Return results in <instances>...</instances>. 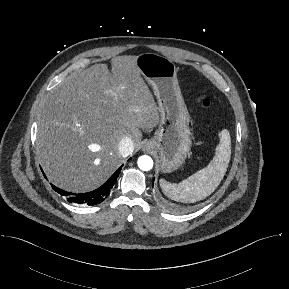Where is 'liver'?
I'll return each mask as SVG.
<instances>
[{
  "instance_id": "liver-1",
  "label": "liver",
  "mask_w": 289,
  "mask_h": 289,
  "mask_svg": "<svg viewBox=\"0 0 289 289\" xmlns=\"http://www.w3.org/2000/svg\"><path fill=\"white\" fill-rule=\"evenodd\" d=\"M71 74L52 89L37 121L36 155L49 180L69 192L92 191L123 163L124 137L140 146L141 130L160 122L159 107L136 56Z\"/></svg>"
}]
</instances>
